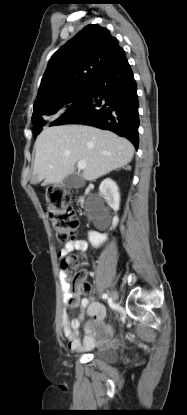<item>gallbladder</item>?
I'll return each mask as SVG.
<instances>
[{
    "label": "gallbladder",
    "mask_w": 187,
    "mask_h": 415,
    "mask_svg": "<svg viewBox=\"0 0 187 415\" xmlns=\"http://www.w3.org/2000/svg\"><path fill=\"white\" fill-rule=\"evenodd\" d=\"M62 184L67 188H80L84 185V181L80 176L73 173L64 178Z\"/></svg>",
    "instance_id": "bac80fb5"
}]
</instances>
